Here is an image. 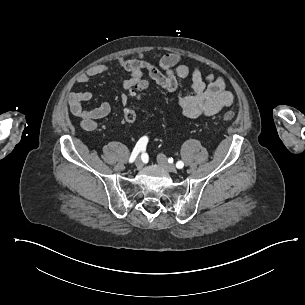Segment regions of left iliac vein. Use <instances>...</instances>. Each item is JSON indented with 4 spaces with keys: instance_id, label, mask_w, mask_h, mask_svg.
<instances>
[{
    "instance_id": "4c4485c4",
    "label": "left iliac vein",
    "mask_w": 305,
    "mask_h": 305,
    "mask_svg": "<svg viewBox=\"0 0 305 305\" xmlns=\"http://www.w3.org/2000/svg\"><path fill=\"white\" fill-rule=\"evenodd\" d=\"M157 162L164 170L168 172H176V167L173 164H169L167 162V158L164 154H159L157 156Z\"/></svg>"
}]
</instances>
